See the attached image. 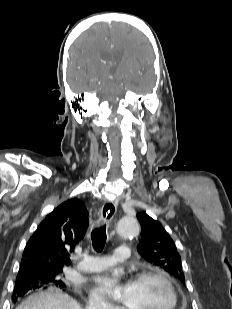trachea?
Segmentation results:
<instances>
[{"mask_svg": "<svg viewBox=\"0 0 232 309\" xmlns=\"http://www.w3.org/2000/svg\"><path fill=\"white\" fill-rule=\"evenodd\" d=\"M106 225L103 224L92 231L91 239L95 251L100 252L103 250L106 242Z\"/></svg>", "mask_w": 232, "mask_h": 309, "instance_id": "trachea-1", "label": "trachea"}]
</instances>
